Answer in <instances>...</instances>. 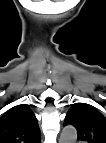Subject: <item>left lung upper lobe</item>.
<instances>
[{
  "mask_svg": "<svg viewBox=\"0 0 106 143\" xmlns=\"http://www.w3.org/2000/svg\"><path fill=\"white\" fill-rule=\"evenodd\" d=\"M65 124L76 128L81 141L106 143V116L89 104H74L65 117Z\"/></svg>",
  "mask_w": 106,
  "mask_h": 143,
  "instance_id": "left-lung-upper-lobe-1",
  "label": "left lung upper lobe"
}]
</instances>
